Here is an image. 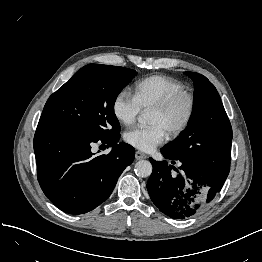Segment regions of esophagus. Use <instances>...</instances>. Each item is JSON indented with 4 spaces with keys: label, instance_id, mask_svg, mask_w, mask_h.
Instances as JSON below:
<instances>
[{
    "label": "esophagus",
    "instance_id": "obj_1",
    "mask_svg": "<svg viewBox=\"0 0 262 262\" xmlns=\"http://www.w3.org/2000/svg\"><path fill=\"white\" fill-rule=\"evenodd\" d=\"M135 158H136L137 160H142V159H146V158H147V155L144 154L143 152L136 151V153H135Z\"/></svg>",
    "mask_w": 262,
    "mask_h": 262
}]
</instances>
